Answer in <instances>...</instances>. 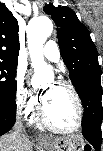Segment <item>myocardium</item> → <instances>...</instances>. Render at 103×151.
I'll return each mask as SVG.
<instances>
[{"mask_svg":"<svg viewBox=\"0 0 103 151\" xmlns=\"http://www.w3.org/2000/svg\"><path fill=\"white\" fill-rule=\"evenodd\" d=\"M55 84L66 88L72 95L73 100L76 105V109H77V122L71 128H62V127H58V126L54 125L46 116L44 105L40 108V111H39L40 121L46 128H48L49 130L54 131V132H58V133L76 132L82 128L83 123H84V106H83L82 100L80 98V95L78 94L75 87L66 80H58L55 82Z\"/></svg>","mask_w":103,"mask_h":151,"instance_id":"f54148a6","label":"myocardium"}]
</instances>
